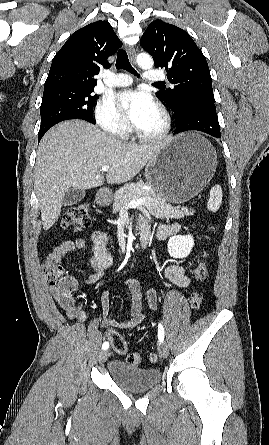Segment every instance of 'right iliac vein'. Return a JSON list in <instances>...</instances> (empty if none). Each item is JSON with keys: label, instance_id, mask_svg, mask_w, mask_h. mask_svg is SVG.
Segmentation results:
<instances>
[{"label": "right iliac vein", "instance_id": "63e3f726", "mask_svg": "<svg viewBox=\"0 0 269 445\" xmlns=\"http://www.w3.org/2000/svg\"><path fill=\"white\" fill-rule=\"evenodd\" d=\"M109 356V351L108 350H104L100 353L99 355V362L103 363L108 359Z\"/></svg>", "mask_w": 269, "mask_h": 445}]
</instances>
